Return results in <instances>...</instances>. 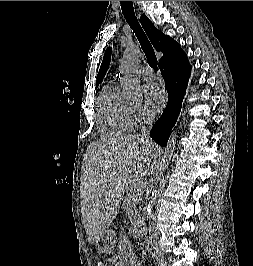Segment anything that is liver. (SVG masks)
Returning a JSON list of instances; mask_svg holds the SVG:
<instances>
[{
    "label": "liver",
    "mask_w": 253,
    "mask_h": 266,
    "mask_svg": "<svg viewBox=\"0 0 253 266\" xmlns=\"http://www.w3.org/2000/svg\"><path fill=\"white\" fill-rule=\"evenodd\" d=\"M158 146L137 135L90 143L83 159L82 218L94 244L118 215L124 193L140 182L158 153Z\"/></svg>",
    "instance_id": "liver-1"
}]
</instances>
